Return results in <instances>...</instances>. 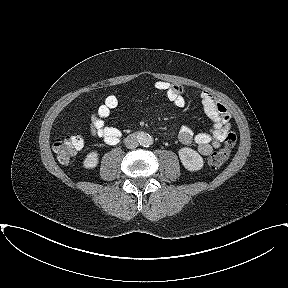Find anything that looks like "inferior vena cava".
Listing matches in <instances>:
<instances>
[{
  "label": "inferior vena cava",
  "instance_id": "inferior-vena-cava-1",
  "mask_svg": "<svg viewBox=\"0 0 288 288\" xmlns=\"http://www.w3.org/2000/svg\"><path fill=\"white\" fill-rule=\"evenodd\" d=\"M139 139L134 134L125 139V145L128 149H135L138 146Z\"/></svg>",
  "mask_w": 288,
  "mask_h": 288
}]
</instances>
